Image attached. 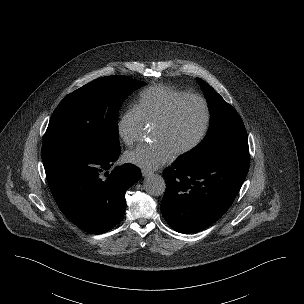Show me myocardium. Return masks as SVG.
I'll use <instances>...</instances> for the list:
<instances>
[{
	"instance_id": "1",
	"label": "myocardium",
	"mask_w": 304,
	"mask_h": 304,
	"mask_svg": "<svg viewBox=\"0 0 304 304\" xmlns=\"http://www.w3.org/2000/svg\"><path fill=\"white\" fill-rule=\"evenodd\" d=\"M189 100H197L202 105L203 122H202V126H201L200 131H199L198 135L196 136V138L189 145L178 150L174 154L175 157H182V156H185V155L191 153L205 139V137L208 133V130H209L210 122H211V110H210V105H209L207 99L200 94H186V95L182 96L181 98L177 99L175 102H173L170 105V107L167 109L165 114L154 125L155 127H159V128L166 127L172 121V119L175 116L179 107Z\"/></svg>"
}]
</instances>
